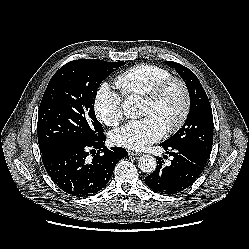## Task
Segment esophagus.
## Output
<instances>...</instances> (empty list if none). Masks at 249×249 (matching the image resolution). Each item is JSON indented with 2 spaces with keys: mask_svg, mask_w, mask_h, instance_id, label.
Here are the masks:
<instances>
[{
  "mask_svg": "<svg viewBox=\"0 0 249 249\" xmlns=\"http://www.w3.org/2000/svg\"><path fill=\"white\" fill-rule=\"evenodd\" d=\"M128 154L132 155V156H139V155H141V153L135 152V151H131V150L128 151Z\"/></svg>",
  "mask_w": 249,
  "mask_h": 249,
  "instance_id": "34e87169",
  "label": "esophagus"
}]
</instances>
